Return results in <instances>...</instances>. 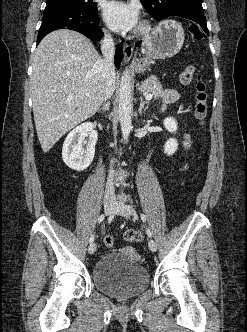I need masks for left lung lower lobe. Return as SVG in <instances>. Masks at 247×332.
<instances>
[{
	"label": "left lung lower lobe",
	"mask_w": 247,
	"mask_h": 332,
	"mask_svg": "<svg viewBox=\"0 0 247 332\" xmlns=\"http://www.w3.org/2000/svg\"><path fill=\"white\" fill-rule=\"evenodd\" d=\"M169 16H179L188 20H191L198 24L199 28L204 31L205 34H203L205 37L206 35H209V31L206 24V17L204 16V13L199 12H186V11H178L173 12ZM138 46V43L136 44Z\"/></svg>",
	"instance_id": "0a47b994"
}]
</instances>
